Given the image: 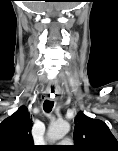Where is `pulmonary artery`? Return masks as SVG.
Instances as JSON below:
<instances>
[{
    "label": "pulmonary artery",
    "instance_id": "pulmonary-artery-1",
    "mask_svg": "<svg viewBox=\"0 0 118 151\" xmlns=\"http://www.w3.org/2000/svg\"><path fill=\"white\" fill-rule=\"evenodd\" d=\"M72 141L70 139H64L61 144H71Z\"/></svg>",
    "mask_w": 118,
    "mask_h": 151
}]
</instances>
